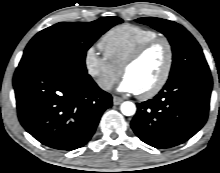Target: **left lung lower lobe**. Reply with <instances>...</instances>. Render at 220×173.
I'll return each mask as SVG.
<instances>
[{"label":"left lung lower lobe","mask_w":220,"mask_h":173,"mask_svg":"<svg viewBox=\"0 0 220 173\" xmlns=\"http://www.w3.org/2000/svg\"><path fill=\"white\" fill-rule=\"evenodd\" d=\"M211 90L210 74L168 83L153 99L137 103L131 127L143 142L155 148L183 144L205 124Z\"/></svg>","instance_id":"0a47b994"}]
</instances>
